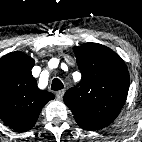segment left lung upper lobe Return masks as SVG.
<instances>
[{"label":"left lung upper lobe","instance_id":"obj_1","mask_svg":"<svg viewBox=\"0 0 142 142\" xmlns=\"http://www.w3.org/2000/svg\"><path fill=\"white\" fill-rule=\"evenodd\" d=\"M74 53L82 74L81 89H69L64 102L82 129L94 131L106 127L125 103L128 70L120 56L98 43L75 47Z\"/></svg>","mask_w":142,"mask_h":142}]
</instances>
